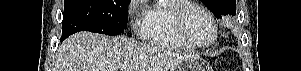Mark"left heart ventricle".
Here are the masks:
<instances>
[{
  "mask_svg": "<svg viewBox=\"0 0 301 71\" xmlns=\"http://www.w3.org/2000/svg\"><path fill=\"white\" fill-rule=\"evenodd\" d=\"M186 26L190 37L197 43L206 44L213 38V25L199 9L193 8L188 12Z\"/></svg>",
  "mask_w": 301,
  "mask_h": 71,
  "instance_id": "1",
  "label": "left heart ventricle"
}]
</instances>
